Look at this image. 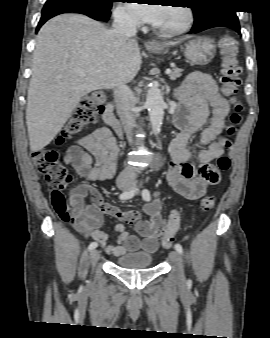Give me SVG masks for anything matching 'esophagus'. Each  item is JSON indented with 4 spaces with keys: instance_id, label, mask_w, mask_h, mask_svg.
Masks as SVG:
<instances>
[{
    "instance_id": "1",
    "label": "esophagus",
    "mask_w": 270,
    "mask_h": 338,
    "mask_svg": "<svg viewBox=\"0 0 270 338\" xmlns=\"http://www.w3.org/2000/svg\"><path fill=\"white\" fill-rule=\"evenodd\" d=\"M155 45H157V43L154 42V41H147V42H146V46H147V47H151V46H155Z\"/></svg>"
}]
</instances>
